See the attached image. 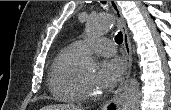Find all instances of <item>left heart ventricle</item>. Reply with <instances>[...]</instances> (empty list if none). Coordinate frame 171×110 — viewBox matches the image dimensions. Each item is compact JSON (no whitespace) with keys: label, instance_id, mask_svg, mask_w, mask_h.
<instances>
[{"label":"left heart ventricle","instance_id":"obj_1","mask_svg":"<svg viewBox=\"0 0 171 110\" xmlns=\"http://www.w3.org/2000/svg\"><path fill=\"white\" fill-rule=\"evenodd\" d=\"M80 77L82 81L85 83V85L92 91H98V89L94 86L93 79H94V72L93 71H87L82 70L79 71Z\"/></svg>","mask_w":171,"mask_h":110}]
</instances>
